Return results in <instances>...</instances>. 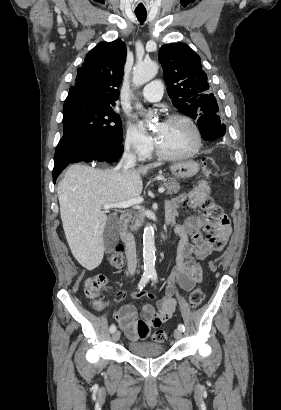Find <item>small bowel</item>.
<instances>
[{
  "label": "small bowel",
  "mask_w": 281,
  "mask_h": 410,
  "mask_svg": "<svg viewBox=\"0 0 281 410\" xmlns=\"http://www.w3.org/2000/svg\"><path fill=\"white\" fill-rule=\"evenodd\" d=\"M208 186L201 181L190 194L179 195L165 205L166 222L178 236L176 264L167 277L166 296L158 301L157 308L146 303L142 307V318H137L133 305L125 304L115 314V319L131 341L146 340L150 329L168 321L175 309L172 297L177 289L192 290L202 279L200 260L214 252L223 250L231 235L230 222L220 215L199 213L188 216L183 223L177 222L181 210L196 211L208 193ZM123 293L120 292L119 295ZM134 298H154L146 289L129 292Z\"/></svg>",
  "instance_id": "c3829d8e"
}]
</instances>
